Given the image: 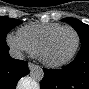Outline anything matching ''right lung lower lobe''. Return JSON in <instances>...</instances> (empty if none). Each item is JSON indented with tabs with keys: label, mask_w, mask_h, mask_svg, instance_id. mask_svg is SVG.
<instances>
[{
	"label": "right lung lower lobe",
	"mask_w": 89,
	"mask_h": 89,
	"mask_svg": "<svg viewBox=\"0 0 89 89\" xmlns=\"http://www.w3.org/2000/svg\"><path fill=\"white\" fill-rule=\"evenodd\" d=\"M6 42L0 44V89H15L19 79L29 73L28 62L10 57Z\"/></svg>",
	"instance_id": "1"
}]
</instances>
